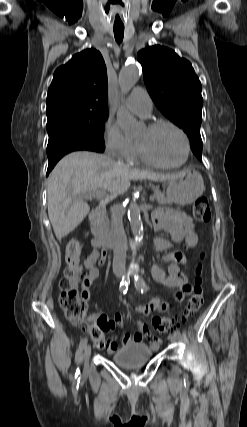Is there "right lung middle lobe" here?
Instances as JSON below:
<instances>
[{
  "label": "right lung middle lobe",
  "mask_w": 247,
  "mask_h": 427,
  "mask_svg": "<svg viewBox=\"0 0 247 427\" xmlns=\"http://www.w3.org/2000/svg\"><path fill=\"white\" fill-rule=\"evenodd\" d=\"M108 108L67 107L47 114L48 135L64 133L105 148L103 135Z\"/></svg>",
  "instance_id": "right-lung-middle-lobe-1"
}]
</instances>
